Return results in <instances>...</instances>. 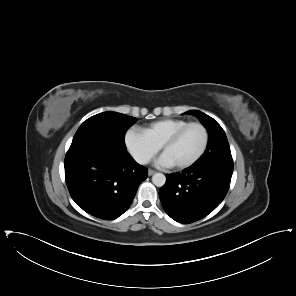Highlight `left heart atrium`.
<instances>
[{
  "instance_id": "39dd6f15",
  "label": "left heart atrium",
  "mask_w": 296,
  "mask_h": 296,
  "mask_svg": "<svg viewBox=\"0 0 296 296\" xmlns=\"http://www.w3.org/2000/svg\"><path fill=\"white\" fill-rule=\"evenodd\" d=\"M156 163L161 167H171L174 165L172 161L165 155L162 154L156 161Z\"/></svg>"
}]
</instances>
